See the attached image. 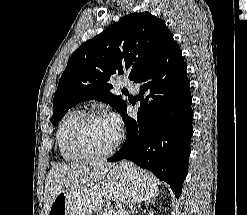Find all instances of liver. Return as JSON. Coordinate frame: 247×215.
I'll return each instance as SVG.
<instances>
[{"instance_id":"liver-1","label":"liver","mask_w":247,"mask_h":215,"mask_svg":"<svg viewBox=\"0 0 247 215\" xmlns=\"http://www.w3.org/2000/svg\"><path fill=\"white\" fill-rule=\"evenodd\" d=\"M113 166L106 162L54 164L45 180V215H48L55 197L65 188L72 193L82 192L100 181Z\"/></svg>"}]
</instances>
